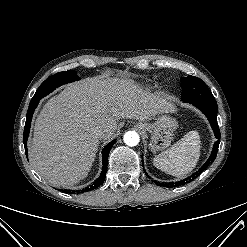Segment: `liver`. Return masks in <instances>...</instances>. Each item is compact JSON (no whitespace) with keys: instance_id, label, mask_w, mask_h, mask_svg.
Segmentation results:
<instances>
[{"instance_id":"6515ba94","label":"liver","mask_w":247,"mask_h":247,"mask_svg":"<svg viewBox=\"0 0 247 247\" xmlns=\"http://www.w3.org/2000/svg\"><path fill=\"white\" fill-rule=\"evenodd\" d=\"M174 111L168 100L132 80L95 77L70 84L36 118L31 164L50 184L71 187L88 175L99 141L114 135L118 119L144 121ZM98 127L107 129L102 138L94 134Z\"/></svg>"}]
</instances>
